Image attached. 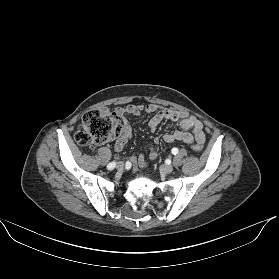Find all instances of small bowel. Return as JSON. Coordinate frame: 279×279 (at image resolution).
Wrapping results in <instances>:
<instances>
[{
  "mask_svg": "<svg viewBox=\"0 0 279 279\" xmlns=\"http://www.w3.org/2000/svg\"><path fill=\"white\" fill-rule=\"evenodd\" d=\"M119 114L121 115H132L140 116L142 113L153 114L149 120V128L154 132L163 120H170L172 122H177L180 129L172 133L164 134L162 139L167 143H172L174 141H181L185 144H199L202 145L205 142V133L203 130L202 122L195 116H191L182 111L173 110L170 108L161 107L157 104H147V105H135L130 104L126 107L120 109ZM131 138V129L127 123L124 121V131L121 136L117 139L114 145V151L120 152L126 146ZM159 139H156V143ZM150 157L154 158L157 154L155 147H150L149 149ZM131 164L133 167L145 166L146 160L143 154L132 157Z\"/></svg>",
  "mask_w": 279,
  "mask_h": 279,
  "instance_id": "obj_1",
  "label": "small bowel"
}]
</instances>
